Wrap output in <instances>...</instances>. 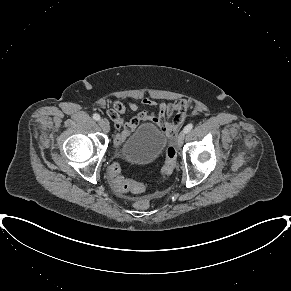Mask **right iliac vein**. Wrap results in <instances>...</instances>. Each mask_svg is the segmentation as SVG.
Here are the masks:
<instances>
[{
	"instance_id": "1",
	"label": "right iliac vein",
	"mask_w": 291,
	"mask_h": 291,
	"mask_svg": "<svg viewBox=\"0 0 291 291\" xmlns=\"http://www.w3.org/2000/svg\"><path fill=\"white\" fill-rule=\"evenodd\" d=\"M99 125L104 132H106V133L109 132L110 126H109V123L107 120H105V119L99 120Z\"/></svg>"
}]
</instances>
